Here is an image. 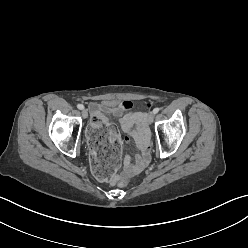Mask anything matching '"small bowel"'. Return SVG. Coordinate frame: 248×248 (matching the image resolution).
<instances>
[{"label": "small bowel", "mask_w": 248, "mask_h": 248, "mask_svg": "<svg viewBox=\"0 0 248 248\" xmlns=\"http://www.w3.org/2000/svg\"><path fill=\"white\" fill-rule=\"evenodd\" d=\"M133 103L125 101L116 103L115 101H104L101 105L91 104V108L102 109L107 114L119 117V123L126 134V139H133L139 153L133 161L130 155H126L123 161L124 172L127 175H135L141 172L149 161L150 145L147 128L146 114L143 112L131 111ZM117 135L112 134V138Z\"/></svg>", "instance_id": "obj_1"}]
</instances>
